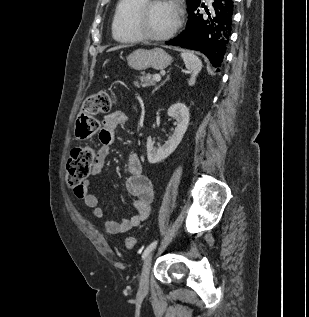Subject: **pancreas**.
<instances>
[{"mask_svg":"<svg viewBox=\"0 0 309 317\" xmlns=\"http://www.w3.org/2000/svg\"><path fill=\"white\" fill-rule=\"evenodd\" d=\"M154 76L152 74H148V75H143V76H139L138 79L140 80V84L139 82H135L134 85L136 87H150V86H155L156 85V81L154 80Z\"/></svg>","mask_w":309,"mask_h":317,"instance_id":"1","label":"pancreas"}]
</instances>
